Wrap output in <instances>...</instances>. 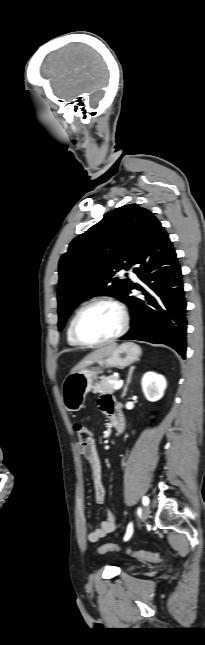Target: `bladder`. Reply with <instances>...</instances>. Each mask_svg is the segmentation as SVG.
<instances>
[{
	"label": "bladder",
	"mask_w": 205,
	"mask_h": 645,
	"mask_svg": "<svg viewBox=\"0 0 205 645\" xmlns=\"http://www.w3.org/2000/svg\"><path fill=\"white\" fill-rule=\"evenodd\" d=\"M135 568H136V566H135V565H133V564H131V565H129V566H128V569H129V570H133V569H135Z\"/></svg>",
	"instance_id": "obj_1"
}]
</instances>
